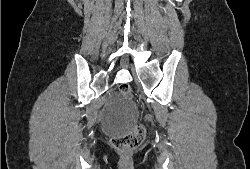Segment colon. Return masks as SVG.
I'll list each match as a JSON object with an SVG mask.
<instances>
[{"instance_id": "obj_1", "label": "colon", "mask_w": 250, "mask_h": 169, "mask_svg": "<svg viewBox=\"0 0 250 169\" xmlns=\"http://www.w3.org/2000/svg\"><path fill=\"white\" fill-rule=\"evenodd\" d=\"M122 97L134 101V94L128 85L120 87ZM140 113V112H139ZM146 126H135V130L127 134H118V136L110 139V146L112 150H119V155H132V150H137V147L146 139ZM132 164L124 161L119 165L120 169H132Z\"/></svg>"}]
</instances>
